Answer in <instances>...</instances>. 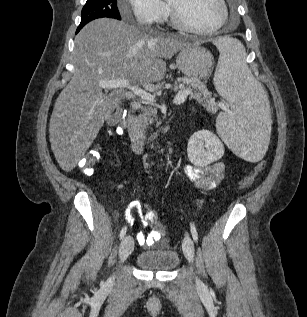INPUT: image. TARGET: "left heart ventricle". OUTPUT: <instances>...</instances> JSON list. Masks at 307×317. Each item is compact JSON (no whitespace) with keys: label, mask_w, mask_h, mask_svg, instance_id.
Listing matches in <instances>:
<instances>
[{"label":"left heart ventricle","mask_w":307,"mask_h":317,"mask_svg":"<svg viewBox=\"0 0 307 317\" xmlns=\"http://www.w3.org/2000/svg\"><path fill=\"white\" fill-rule=\"evenodd\" d=\"M191 26L206 30L214 27L221 18L218 0H168Z\"/></svg>","instance_id":"obj_1"}]
</instances>
